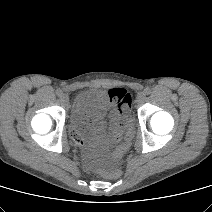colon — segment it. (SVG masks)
<instances>
[{
    "mask_svg": "<svg viewBox=\"0 0 212 212\" xmlns=\"http://www.w3.org/2000/svg\"><path fill=\"white\" fill-rule=\"evenodd\" d=\"M116 95L118 98L116 99L115 104L117 105L118 111L120 113L127 112L129 108L131 107L130 94L125 89H122V88L112 89L110 91V98L114 99ZM130 137H131V132L129 131L127 135V141L123 143L122 145H120L115 151L116 158L121 157L126 152V150L129 147ZM101 175L109 179H117L121 176V170L117 166H114V167H111L110 169L101 171Z\"/></svg>",
    "mask_w": 212,
    "mask_h": 212,
    "instance_id": "colon-1",
    "label": "colon"
}]
</instances>
